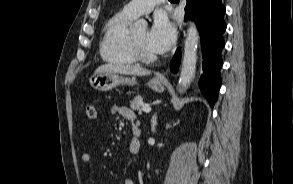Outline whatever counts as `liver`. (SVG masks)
Here are the masks:
<instances>
[{
  "label": "liver",
  "mask_w": 293,
  "mask_h": 184,
  "mask_svg": "<svg viewBox=\"0 0 293 184\" xmlns=\"http://www.w3.org/2000/svg\"><path fill=\"white\" fill-rule=\"evenodd\" d=\"M96 72H113L125 75L146 76L151 72L137 65H124L119 63H108L99 66Z\"/></svg>",
  "instance_id": "6515ba94"
}]
</instances>
